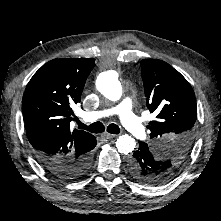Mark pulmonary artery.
<instances>
[{"label":"pulmonary artery","mask_w":221,"mask_h":221,"mask_svg":"<svg viewBox=\"0 0 221 221\" xmlns=\"http://www.w3.org/2000/svg\"><path fill=\"white\" fill-rule=\"evenodd\" d=\"M112 112L120 115L124 126L136 137L145 138L146 129L141 120L133 112V104L129 98H125L121 103L110 110L96 111L84 114L86 121H96L102 117L108 116Z\"/></svg>","instance_id":"1"}]
</instances>
